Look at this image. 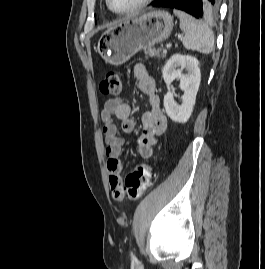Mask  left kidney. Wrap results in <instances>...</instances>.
<instances>
[{
	"label": "left kidney",
	"instance_id": "obj_1",
	"mask_svg": "<svg viewBox=\"0 0 265 269\" xmlns=\"http://www.w3.org/2000/svg\"><path fill=\"white\" fill-rule=\"evenodd\" d=\"M198 60L189 55L175 54L165 64L162 74L167 85L168 92L164 96V108L170 119L177 123H185L190 118L199 89L201 73ZM180 67V69H176ZM183 69L187 73L183 74ZM180 79V88L184 94L181 105L174 101L173 92L170 89L171 82Z\"/></svg>",
	"mask_w": 265,
	"mask_h": 269
}]
</instances>
